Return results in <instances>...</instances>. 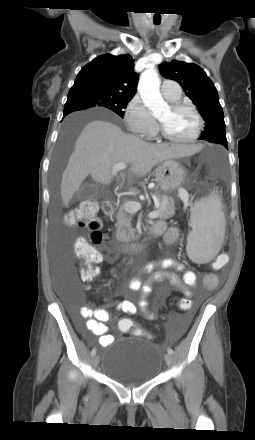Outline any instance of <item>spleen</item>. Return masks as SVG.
Instances as JSON below:
<instances>
[{"label":"spleen","mask_w":255,"mask_h":440,"mask_svg":"<svg viewBox=\"0 0 255 440\" xmlns=\"http://www.w3.org/2000/svg\"><path fill=\"white\" fill-rule=\"evenodd\" d=\"M220 198L211 194L195 203L191 210L192 231L187 238L188 257L207 263L219 252L225 235V215Z\"/></svg>","instance_id":"1"}]
</instances>
